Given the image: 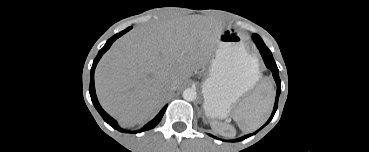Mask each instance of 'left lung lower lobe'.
Masks as SVG:
<instances>
[{
	"label": "left lung lower lobe",
	"mask_w": 369,
	"mask_h": 152,
	"mask_svg": "<svg viewBox=\"0 0 369 152\" xmlns=\"http://www.w3.org/2000/svg\"><path fill=\"white\" fill-rule=\"evenodd\" d=\"M253 40L256 43L258 49L260 50V53L263 57V60L266 64L267 68H269L272 71L273 77H274V79L276 81V84H277V94H276L275 105H274V109H273L271 117L269 118V120L265 124V125H267L271 121V119L273 118V116H274V114L277 110L278 99H279V95H280V91H281V81H280V78H279V70L277 68V65H276V63L273 59V56H272V53L270 52V50L266 47V45L264 44L263 40L261 39V37L259 35H254ZM258 131L254 132L253 134H256ZM250 136H252V134H249V135H246V136L241 137L239 139L231 140V141L235 142V141L244 140V139H246Z\"/></svg>",
	"instance_id": "0a47b994"
}]
</instances>
